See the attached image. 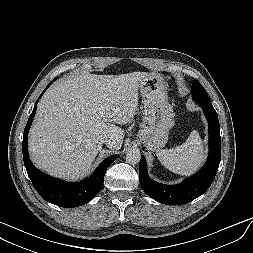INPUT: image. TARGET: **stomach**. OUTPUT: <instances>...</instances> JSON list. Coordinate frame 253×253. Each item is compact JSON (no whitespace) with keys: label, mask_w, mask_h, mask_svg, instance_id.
<instances>
[{"label":"stomach","mask_w":253,"mask_h":253,"mask_svg":"<svg viewBox=\"0 0 253 253\" xmlns=\"http://www.w3.org/2000/svg\"><path fill=\"white\" fill-rule=\"evenodd\" d=\"M167 86L158 74L144 78L140 84L144 116L138 137L149 150L163 147L168 140L169 130L174 126V113L168 102Z\"/></svg>","instance_id":"stomach-1"}]
</instances>
